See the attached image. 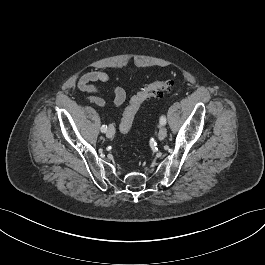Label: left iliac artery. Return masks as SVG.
Returning <instances> with one entry per match:
<instances>
[{
    "instance_id": "obj_1",
    "label": "left iliac artery",
    "mask_w": 265,
    "mask_h": 265,
    "mask_svg": "<svg viewBox=\"0 0 265 265\" xmlns=\"http://www.w3.org/2000/svg\"><path fill=\"white\" fill-rule=\"evenodd\" d=\"M160 124H161V125H165V124H166V117H165L164 115H162V116L160 117Z\"/></svg>"
}]
</instances>
